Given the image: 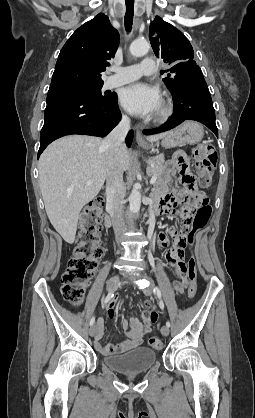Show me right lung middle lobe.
I'll return each instance as SVG.
<instances>
[{
	"instance_id": "1",
	"label": "right lung middle lobe",
	"mask_w": 255,
	"mask_h": 418,
	"mask_svg": "<svg viewBox=\"0 0 255 418\" xmlns=\"http://www.w3.org/2000/svg\"><path fill=\"white\" fill-rule=\"evenodd\" d=\"M102 86H103V82L102 83H71V84H64V85L50 87L48 93L79 92V93H87L92 96L100 97L101 99L110 98L111 95L103 96L101 94Z\"/></svg>"
}]
</instances>
